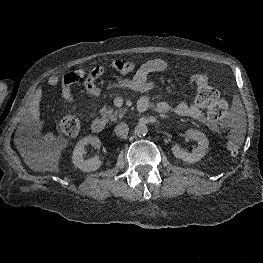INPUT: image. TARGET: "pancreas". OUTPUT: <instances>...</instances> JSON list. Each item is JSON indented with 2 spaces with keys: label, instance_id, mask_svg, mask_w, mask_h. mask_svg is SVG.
Returning a JSON list of instances; mask_svg holds the SVG:
<instances>
[{
  "label": "pancreas",
  "instance_id": "cf45deb5",
  "mask_svg": "<svg viewBox=\"0 0 263 263\" xmlns=\"http://www.w3.org/2000/svg\"><path fill=\"white\" fill-rule=\"evenodd\" d=\"M100 113L104 116L107 120L116 121L118 118H122L125 114V110L121 109H112L110 107H103L100 109Z\"/></svg>",
  "mask_w": 263,
  "mask_h": 263
}]
</instances>
